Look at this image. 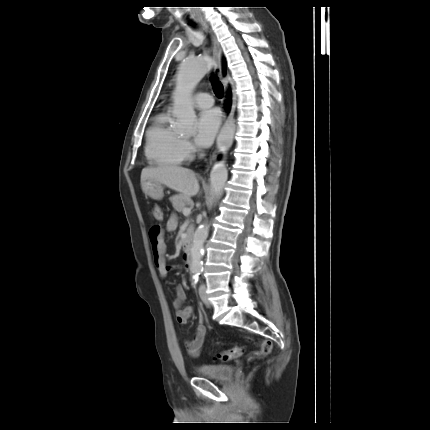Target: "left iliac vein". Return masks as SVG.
I'll list each match as a JSON object with an SVG mask.
<instances>
[{"mask_svg": "<svg viewBox=\"0 0 430 430\" xmlns=\"http://www.w3.org/2000/svg\"><path fill=\"white\" fill-rule=\"evenodd\" d=\"M199 295H200V298L203 301V303L205 305L209 306L210 302H209L208 296L206 294V285L204 283L200 284V286H199Z\"/></svg>", "mask_w": 430, "mask_h": 430, "instance_id": "obj_1", "label": "left iliac vein"}]
</instances>
